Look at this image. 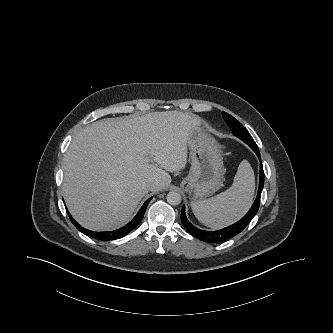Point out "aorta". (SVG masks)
I'll use <instances>...</instances> for the list:
<instances>
[{
	"label": "aorta",
	"mask_w": 333,
	"mask_h": 333,
	"mask_svg": "<svg viewBox=\"0 0 333 333\" xmlns=\"http://www.w3.org/2000/svg\"><path fill=\"white\" fill-rule=\"evenodd\" d=\"M167 202L170 205H179L181 203V195L176 191H171L167 194Z\"/></svg>",
	"instance_id": "1"
}]
</instances>
